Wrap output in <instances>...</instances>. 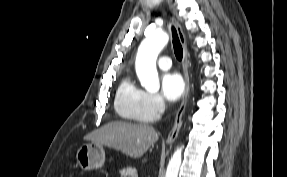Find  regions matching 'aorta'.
Here are the masks:
<instances>
[{
    "label": "aorta",
    "mask_w": 287,
    "mask_h": 177,
    "mask_svg": "<svg viewBox=\"0 0 287 177\" xmlns=\"http://www.w3.org/2000/svg\"><path fill=\"white\" fill-rule=\"evenodd\" d=\"M169 36L163 31H156L144 39L139 46L136 56V73L141 85L148 91L159 89V77L156 69V60L160 51L168 43ZM182 161V147L178 148L171 157L165 177H178Z\"/></svg>",
    "instance_id": "aorta-1"
}]
</instances>
